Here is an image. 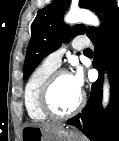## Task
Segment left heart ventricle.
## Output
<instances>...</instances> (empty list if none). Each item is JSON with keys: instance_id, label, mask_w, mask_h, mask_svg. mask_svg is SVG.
Segmentation results:
<instances>
[{"instance_id": "b2bd125f", "label": "left heart ventricle", "mask_w": 119, "mask_h": 141, "mask_svg": "<svg viewBox=\"0 0 119 141\" xmlns=\"http://www.w3.org/2000/svg\"><path fill=\"white\" fill-rule=\"evenodd\" d=\"M80 98V92L76 89L70 75H61L51 93L53 108L61 113L73 109Z\"/></svg>"}]
</instances>
